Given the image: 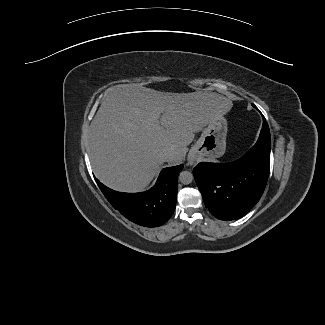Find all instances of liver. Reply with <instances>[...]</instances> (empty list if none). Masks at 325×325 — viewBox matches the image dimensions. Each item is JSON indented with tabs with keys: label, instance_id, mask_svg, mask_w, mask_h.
<instances>
[{
	"label": "liver",
	"instance_id": "6515ba94",
	"mask_svg": "<svg viewBox=\"0 0 325 325\" xmlns=\"http://www.w3.org/2000/svg\"><path fill=\"white\" fill-rule=\"evenodd\" d=\"M231 108L232 101L215 92L171 93L139 84L114 86L90 125L88 153L93 171L112 189L139 191L157 174L164 162L162 152H172L169 163H181L195 132Z\"/></svg>",
	"mask_w": 325,
	"mask_h": 325
}]
</instances>
